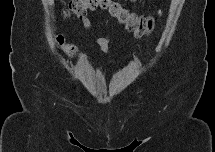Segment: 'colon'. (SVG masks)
Masks as SVG:
<instances>
[{
	"label": "colon",
	"instance_id": "obj_1",
	"mask_svg": "<svg viewBox=\"0 0 215 152\" xmlns=\"http://www.w3.org/2000/svg\"><path fill=\"white\" fill-rule=\"evenodd\" d=\"M96 10L107 12L137 37L148 35L155 26L153 17L137 15L113 0H75L65 9L64 14L82 17L87 11ZM59 45L69 59L74 60L77 57L74 45L65 42L62 37H59Z\"/></svg>",
	"mask_w": 215,
	"mask_h": 152
}]
</instances>
